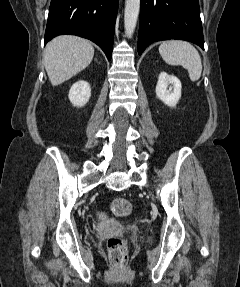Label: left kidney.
<instances>
[{"mask_svg": "<svg viewBox=\"0 0 240 287\" xmlns=\"http://www.w3.org/2000/svg\"><path fill=\"white\" fill-rule=\"evenodd\" d=\"M155 92L165 105L175 107L181 97V82L177 77L161 72Z\"/></svg>", "mask_w": 240, "mask_h": 287, "instance_id": "1", "label": "left kidney"}]
</instances>
